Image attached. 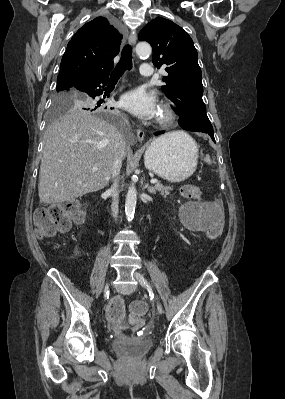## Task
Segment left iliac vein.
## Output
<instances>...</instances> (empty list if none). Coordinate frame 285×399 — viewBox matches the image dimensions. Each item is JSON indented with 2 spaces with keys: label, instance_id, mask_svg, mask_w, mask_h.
<instances>
[{
  "label": "left iliac vein",
  "instance_id": "obj_1",
  "mask_svg": "<svg viewBox=\"0 0 285 399\" xmlns=\"http://www.w3.org/2000/svg\"><path fill=\"white\" fill-rule=\"evenodd\" d=\"M135 279L141 284V286H143L144 288H147V285L145 283V281L143 280V277L141 275V273L137 270L134 271L133 273ZM157 311L159 314H163V307L160 304H157Z\"/></svg>",
  "mask_w": 285,
  "mask_h": 399
}]
</instances>
